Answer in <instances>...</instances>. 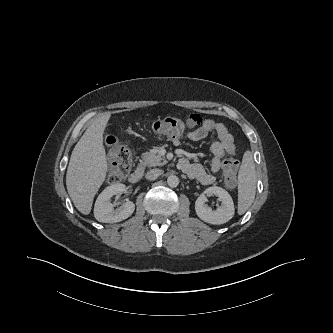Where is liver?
<instances>
[{"mask_svg":"<svg viewBox=\"0 0 333 333\" xmlns=\"http://www.w3.org/2000/svg\"><path fill=\"white\" fill-rule=\"evenodd\" d=\"M110 117V113H105L87 128L74 147L67 168L68 194L84 215L91 212L94 196L106 178L108 164L103 133Z\"/></svg>","mask_w":333,"mask_h":333,"instance_id":"obj_1","label":"liver"}]
</instances>
